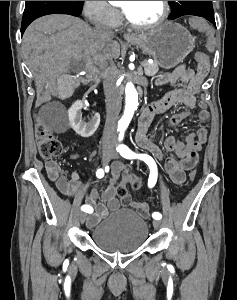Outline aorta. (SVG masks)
<instances>
[{
  "label": "aorta",
  "instance_id": "1",
  "mask_svg": "<svg viewBox=\"0 0 237 300\" xmlns=\"http://www.w3.org/2000/svg\"><path fill=\"white\" fill-rule=\"evenodd\" d=\"M125 109L122 119L118 123L119 129H127L133 115L138 107V93L133 83H127L125 87Z\"/></svg>",
  "mask_w": 237,
  "mask_h": 300
}]
</instances>
